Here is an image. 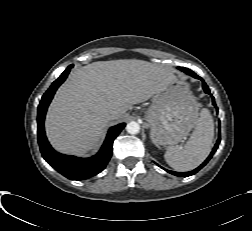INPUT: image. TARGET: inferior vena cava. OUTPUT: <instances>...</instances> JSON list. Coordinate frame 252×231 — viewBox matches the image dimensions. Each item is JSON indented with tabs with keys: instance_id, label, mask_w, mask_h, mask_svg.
<instances>
[{
	"instance_id": "inferior-vena-cava-1",
	"label": "inferior vena cava",
	"mask_w": 252,
	"mask_h": 231,
	"mask_svg": "<svg viewBox=\"0 0 252 231\" xmlns=\"http://www.w3.org/2000/svg\"><path fill=\"white\" fill-rule=\"evenodd\" d=\"M112 116H113V113H110V114H109V117L112 118Z\"/></svg>"
}]
</instances>
